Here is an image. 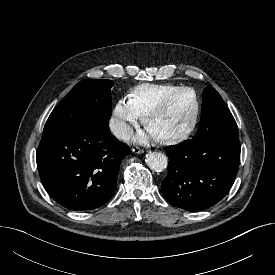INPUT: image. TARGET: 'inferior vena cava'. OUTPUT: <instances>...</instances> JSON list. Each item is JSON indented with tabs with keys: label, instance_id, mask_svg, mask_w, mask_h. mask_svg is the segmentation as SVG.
Here are the masks:
<instances>
[{
	"label": "inferior vena cava",
	"instance_id": "inferior-vena-cava-1",
	"mask_svg": "<svg viewBox=\"0 0 275 275\" xmlns=\"http://www.w3.org/2000/svg\"><path fill=\"white\" fill-rule=\"evenodd\" d=\"M110 128L115 137L121 140H129L133 135L132 128L123 121H112Z\"/></svg>",
	"mask_w": 275,
	"mask_h": 275
}]
</instances>
